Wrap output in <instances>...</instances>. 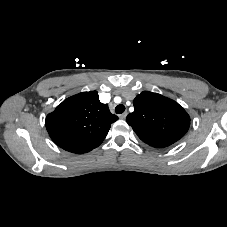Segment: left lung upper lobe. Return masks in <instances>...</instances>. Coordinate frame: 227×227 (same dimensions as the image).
Listing matches in <instances>:
<instances>
[{
  "mask_svg": "<svg viewBox=\"0 0 227 227\" xmlns=\"http://www.w3.org/2000/svg\"><path fill=\"white\" fill-rule=\"evenodd\" d=\"M134 112L126 117L138 137L155 148L181 139L189 129L190 117L177 102L158 93L141 92L133 101Z\"/></svg>",
  "mask_w": 227,
  "mask_h": 227,
  "instance_id": "5c2ea615",
  "label": "left lung upper lobe"
}]
</instances>
